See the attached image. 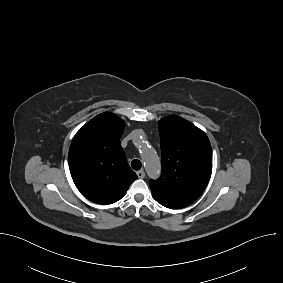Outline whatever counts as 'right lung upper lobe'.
Here are the masks:
<instances>
[{"instance_id":"right-lung-upper-lobe-1","label":"right lung upper lobe","mask_w":283,"mask_h":283,"mask_svg":"<svg viewBox=\"0 0 283 283\" xmlns=\"http://www.w3.org/2000/svg\"><path fill=\"white\" fill-rule=\"evenodd\" d=\"M124 128L122 119L105 112L86 123L72 140L70 173L78 190L92 202L115 203L137 178L120 145Z\"/></svg>"}]
</instances>
